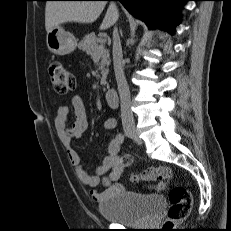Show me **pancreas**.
Segmentation results:
<instances>
[{
  "instance_id": "cf45deb5",
  "label": "pancreas",
  "mask_w": 231,
  "mask_h": 231,
  "mask_svg": "<svg viewBox=\"0 0 231 231\" xmlns=\"http://www.w3.org/2000/svg\"><path fill=\"white\" fill-rule=\"evenodd\" d=\"M99 47V39L96 37L95 33L85 35L78 44V48L85 51L87 55H91L93 57L98 53L101 57V62L99 64V69L102 74L101 84L105 85L108 74V69L106 67L110 64L109 51L104 48L99 50Z\"/></svg>"
}]
</instances>
